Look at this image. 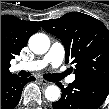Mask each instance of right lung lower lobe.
<instances>
[{
  "mask_svg": "<svg viewBox=\"0 0 109 109\" xmlns=\"http://www.w3.org/2000/svg\"><path fill=\"white\" fill-rule=\"evenodd\" d=\"M34 77L28 79L20 78L11 74L1 78V109H13L22 93L23 86Z\"/></svg>",
  "mask_w": 109,
  "mask_h": 109,
  "instance_id": "1",
  "label": "right lung lower lobe"
}]
</instances>
